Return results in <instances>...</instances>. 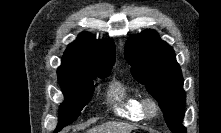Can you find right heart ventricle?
Segmentation results:
<instances>
[{"label":"right heart ventricle","instance_id":"1","mask_svg":"<svg viewBox=\"0 0 221 133\" xmlns=\"http://www.w3.org/2000/svg\"><path fill=\"white\" fill-rule=\"evenodd\" d=\"M108 98L117 115L131 121H140L144 118L139 94L126 84L113 83L109 89Z\"/></svg>","mask_w":221,"mask_h":133}]
</instances>
